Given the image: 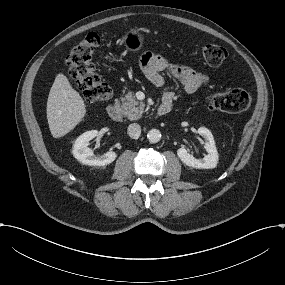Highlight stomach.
<instances>
[{
	"mask_svg": "<svg viewBox=\"0 0 285 285\" xmlns=\"http://www.w3.org/2000/svg\"><path fill=\"white\" fill-rule=\"evenodd\" d=\"M145 36L140 28L133 27L124 32L121 42L130 53L139 52L144 46Z\"/></svg>",
	"mask_w": 285,
	"mask_h": 285,
	"instance_id": "1",
	"label": "stomach"
}]
</instances>
